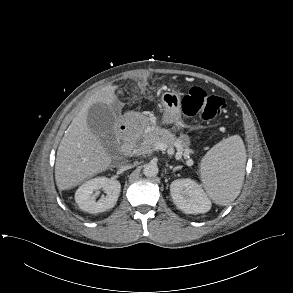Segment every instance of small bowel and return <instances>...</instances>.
<instances>
[{
  "instance_id": "c3829d8e",
  "label": "small bowel",
  "mask_w": 293,
  "mask_h": 293,
  "mask_svg": "<svg viewBox=\"0 0 293 293\" xmlns=\"http://www.w3.org/2000/svg\"><path fill=\"white\" fill-rule=\"evenodd\" d=\"M180 143H181V145H183L184 147H187V146L189 145L188 138L185 137V136H182V137L180 138Z\"/></svg>"
}]
</instances>
